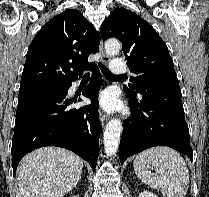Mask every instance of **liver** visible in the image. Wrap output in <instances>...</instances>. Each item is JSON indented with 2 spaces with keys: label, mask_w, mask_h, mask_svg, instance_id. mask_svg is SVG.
Instances as JSON below:
<instances>
[{
  "label": "liver",
  "mask_w": 209,
  "mask_h": 197,
  "mask_svg": "<svg viewBox=\"0 0 209 197\" xmlns=\"http://www.w3.org/2000/svg\"><path fill=\"white\" fill-rule=\"evenodd\" d=\"M83 160L58 147L27 154L18 167L20 197H63L81 178Z\"/></svg>",
  "instance_id": "1"
}]
</instances>
